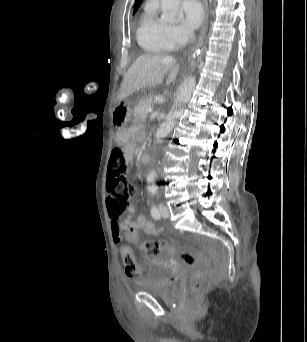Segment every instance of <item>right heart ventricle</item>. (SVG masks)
<instances>
[{
    "mask_svg": "<svg viewBox=\"0 0 307 342\" xmlns=\"http://www.w3.org/2000/svg\"><path fill=\"white\" fill-rule=\"evenodd\" d=\"M150 23L153 28H156L157 22L154 17H151ZM137 43L145 55L160 54L167 50L166 42L156 30L150 33L139 32L137 34Z\"/></svg>",
    "mask_w": 307,
    "mask_h": 342,
    "instance_id": "e07e8e85",
    "label": "right heart ventricle"
}]
</instances>
